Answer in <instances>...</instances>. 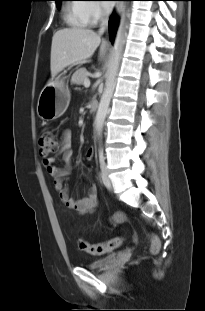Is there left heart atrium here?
I'll use <instances>...</instances> for the list:
<instances>
[{
  "label": "left heart atrium",
  "instance_id": "left-heart-atrium-1",
  "mask_svg": "<svg viewBox=\"0 0 205 311\" xmlns=\"http://www.w3.org/2000/svg\"><path fill=\"white\" fill-rule=\"evenodd\" d=\"M105 6H107V8L110 9V7H111L110 2L106 3Z\"/></svg>",
  "mask_w": 205,
  "mask_h": 311
}]
</instances>
